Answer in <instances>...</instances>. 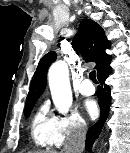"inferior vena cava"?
Segmentation results:
<instances>
[{
  "label": "inferior vena cava",
  "instance_id": "1",
  "mask_svg": "<svg viewBox=\"0 0 130 153\" xmlns=\"http://www.w3.org/2000/svg\"><path fill=\"white\" fill-rule=\"evenodd\" d=\"M86 131V124L78 123L66 137L62 153H81L85 144Z\"/></svg>",
  "mask_w": 130,
  "mask_h": 153
}]
</instances>
